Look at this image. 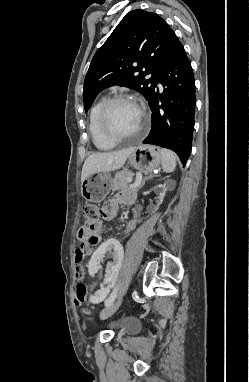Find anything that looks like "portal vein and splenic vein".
Here are the masks:
<instances>
[{
    "label": "portal vein and splenic vein",
    "instance_id": "obj_1",
    "mask_svg": "<svg viewBox=\"0 0 249 382\" xmlns=\"http://www.w3.org/2000/svg\"><path fill=\"white\" fill-rule=\"evenodd\" d=\"M127 181H128V182H132V178H127ZM139 184H140V180L137 179L133 184L130 185V187H131V188H136V187L139 186Z\"/></svg>",
    "mask_w": 249,
    "mask_h": 382
}]
</instances>
